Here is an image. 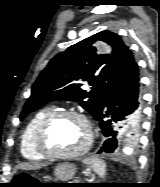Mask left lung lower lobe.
Here are the masks:
<instances>
[{
    "label": "left lung lower lobe",
    "instance_id": "1",
    "mask_svg": "<svg viewBox=\"0 0 160 187\" xmlns=\"http://www.w3.org/2000/svg\"><path fill=\"white\" fill-rule=\"evenodd\" d=\"M142 97L139 67L134 61L127 76L104 97L95 116L106 139L98 153H111L117 147L116 136L123 125L136 126L141 117Z\"/></svg>",
    "mask_w": 160,
    "mask_h": 187
}]
</instances>
